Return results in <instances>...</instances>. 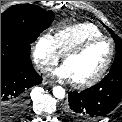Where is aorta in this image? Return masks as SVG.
I'll list each match as a JSON object with an SVG mask.
<instances>
[{
	"label": "aorta",
	"mask_w": 122,
	"mask_h": 122,
	"mask_svg": "<svg viewBox=\"0 0 122 122\" xmlns=\"http://www.w3.org/2000/svg\"><path fill=\"white\" fill-rule=\"evenodd\" d=\"M52 92L57 99H63L65 97V89L61 86H55Z\"/></svg>",
	"instance_id": "762f6f07"
}]
</instances>
